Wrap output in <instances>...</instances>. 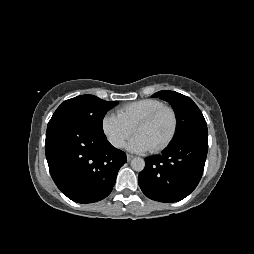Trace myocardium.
<instances>
[{"label": "myocardium", "mask_w": 254, "mask_h": 254, "mask_svg": "<svg viewBox=\"0 0 254 254\" xmlns=\"http://www.w3.org/2000/svg\"><path fill=\"white\" fill-rule=\"evenodd\" d=\"M164 111L169 112L171 117H172V130H171L170 135L168 136V138L162 144H160L159 146L151 149L152 152L163 151L174 140V138L176 136V133H177V129H178V117H177L176 111L170 106L163 105V106L153 110L152 112L147 114L142 119H140L134 127V131L136 132L139 127L150 123L154 118H156L160 113H162Z\"/></svg>", "instance_id": "obj_1"}]
</instances>
